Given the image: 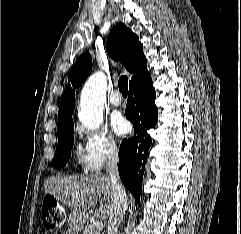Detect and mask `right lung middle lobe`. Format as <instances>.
<instances>
[{
	"label": "right lung middle lobe",
	"instance_id": "right-lung-middle-lobe-1",
	"mask_svg": "<svg viewBox=\"0 0 241 234\" xmlns=\"http://www.w3.org/2000/svg\"><path fill=\"white\" fill-rule=\"evenodd\" d=\"M73 131H74V126L58 131L57 153L53 158L52 166L61 167L67 163L69 154L73 147V136H72Z\"/></svg>",
	"mask_w": 241,
	"mask_h": 234
}]
</instances>
